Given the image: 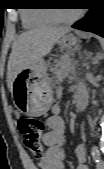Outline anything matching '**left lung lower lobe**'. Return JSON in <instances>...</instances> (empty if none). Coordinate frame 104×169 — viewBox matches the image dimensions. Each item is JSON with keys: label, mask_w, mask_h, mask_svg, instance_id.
<instances>
[{"label": "left lung lower lobe", "mask_w": 104, "mask_h": 169, "mask_svg": "<svg viewBox=\"0 0 104 169\" xmlns=\"http://www.w3.org/2000/svg\"><path fill=\"white\" fill-rule=\"evenodd\" d=\"M72 27L104 36V10L92 8L85 18L76 22Z\"/></svg>", "instance_id": "1"}]
</instances>
